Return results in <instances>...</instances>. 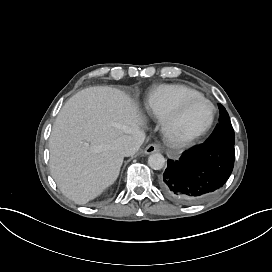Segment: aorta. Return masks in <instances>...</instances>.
Instances as JSON below:
<instances>
[{
  "label": "aorta",
  "mask_w": 272,
  "mask_h": 272,
  "mask_svg": "<svg viewBox=\"0 0 272 272\" xmlns=\"http://www.w3.org/2000/svg\"><path fill=\"white\" fill-rule=\"evenodd\" d=\"M148 165L154 170H160L165 165V158L160 153L151 154L148 158Z\"/></svg>",
  "instance_id": "aorta-1"
}]
</instances>
